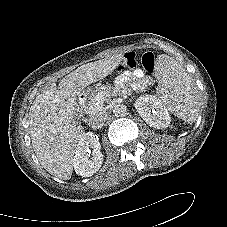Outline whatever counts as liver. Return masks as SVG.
<instances>
[{"label":"liver","instance_id":"6515ba94","mask_svg":"<svg viewBox=\"0 0 227 227\" xmlns=\"http://www.w3.org/2000/svg\"><path fill=\"white\" fill-rule=\"evenodd\" d=\"M123 54L84 64L59 82L51 83L38 94L30 108L29 132L32 146L42 167L53 176L69 180L73 172L76 147L85 135L74 121L78 96L90 84L111 74Z\"/></svg>","mask_w":227,"mask_h":227}]
</instances>
